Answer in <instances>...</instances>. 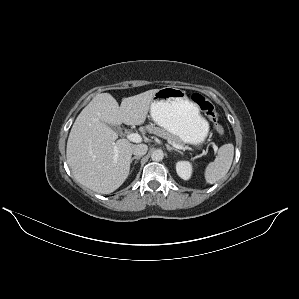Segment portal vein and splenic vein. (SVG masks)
<instances>
[{
	"label": "portal vein and splenic vein",
	"mask_w": 299,
	"mask_h": 299,
	"mask_svg": "<svg viewBox=\"0 0 299 299\" xmlns=\"http://www.w3.org/2000/svg\"><path fill=\"white\" fill-rule=\"evenodd\" d=\"M127 139L130 140V141H132V142H136V143H139V142L142 141L141 136H140L139 134H137V133H131V134H128V135H127ZM172 146H173L174 148H176V149H184V147H182L181 145L172 144ZM214 149H215V151H216V150H217V147L214 146ZM117 154H118V150H117V148H115V155H117Z\"/></svg>",
	"instance_id": "18ae733b"
}]
</instances>
